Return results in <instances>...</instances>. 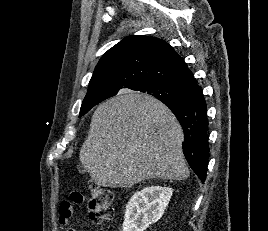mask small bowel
<instances>
[{
	"label": "small bowel",
	"instance_id": "small-bowel-1",
	"mask_svg": "<svg viewBox=\"0 0 268 231\" xmlns=\"http://www.w3.org/2000/svg\"><path fill=\"white\" fill-rule=\"evenodd\" d=\"M73 212L72 203L68 200H63L59 205L58 223L67 227V231H80L79 228L71 223Z\"/></svg>",
	"mask_w": 268,
	"mask_h": 231
}]
</instances>
